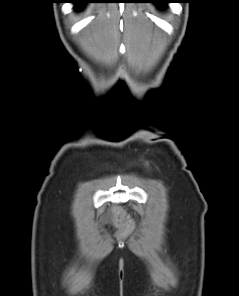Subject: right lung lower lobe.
Here are the masks:
<instances>
[{"label":"right lung lower lobe","instance_id":"98d812e1","mask_svg":"<svg viewBox=\"0 0 239 296\" xmlns=\"http://www.w3.org/2000/svg\"><path fill=\"white\" fill-rule=\"evenodd\" d=\"M92 0H69V3H74L75 4V8L80 9L82 7V5L86 4V3H91Z\"/></svg>","mask_w":239,"mask_h":296}]
</instances>
